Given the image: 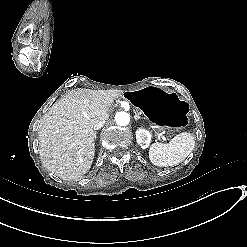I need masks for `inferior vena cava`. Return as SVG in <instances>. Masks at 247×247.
Wrapping results in <instances>:
<instances>
[{
  "label": "inferior vena cava",
  "instance_id": "obj_1",
  "mask_svg": "<svg viewBox=\"0 0 247 247\" xmlns=\"http://www.w3.org/2000/svg\"><path fill=\"white\" fill-rule=\"evenodd\" d=\"M105 121L101 120V121H97L94 125H93V129L94 130H99L103 127Z\"/></svg>",
  "mask_w": 247,
  "mask_h": 247
}]
</instances>
